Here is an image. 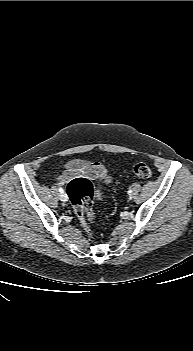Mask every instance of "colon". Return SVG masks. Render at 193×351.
<instances>
[{
	"label": "colon",
	"mask_w": 193,
	"mask_h": 351,
	"mask_svg": "<svg viewBox=\"0 0 193 351\" xmlns=\"http://www.w3.org/2000/svg\"><path fill=\"white\" fill-rule=\"evenodd\" d=\"M132 174L141 179L152 177L150 167L145 163H137L132 167ZM67 192L73 206V210L83 227L89 232V224L93 223V193L94 187L91 181L85 177H76L69 181Z\"/></svg>",
	"instance_id": "colon-1"
}]
</instances>
